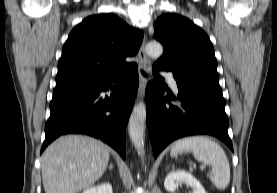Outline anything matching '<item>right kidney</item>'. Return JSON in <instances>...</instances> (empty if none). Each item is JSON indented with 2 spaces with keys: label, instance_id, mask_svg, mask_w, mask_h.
<instances>
[{
  "label": "right kidney",
  "instance_id": "1",
  "mask_svg": "<svg viewBox=\"0 0 277 193\" xmlns=\"http://www.w3.org/2000/svg\"><path fill=\"white\" fill-rule=\"evenodd\" d=\"M83 193H113L112 186L109 183H104L96 187L88 188Z\"/></svg>",
  "mask_w": 277,
  "mask_h": 193
}]
</instances>
